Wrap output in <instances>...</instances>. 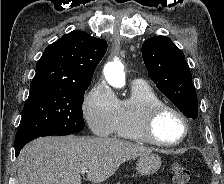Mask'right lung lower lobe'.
Instances as JSON below:
<instances>
[{
    "mask_svg": "<svg viewBox=\"0 0 224 184\" xmlns=\"http://www.w3.org/2000/svg\"><path fill=\"white\" fill-rule=\"evenodd\" d=\"M51 135H70V134H67V133H45V134H40V135H36V136H33L25 141H23L22 143L18 144V145H15V155L18 156L21 149L30 141L38 138V137H42V136H51Z\"/></svg>",
    "mask_w": 224,
    "mask_h": 184,
    "instance_id": "obj_1",
    "label": "right lung lower lobe"
}]
</instances>
